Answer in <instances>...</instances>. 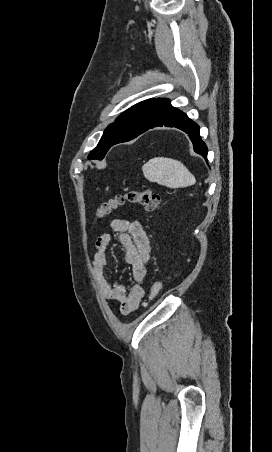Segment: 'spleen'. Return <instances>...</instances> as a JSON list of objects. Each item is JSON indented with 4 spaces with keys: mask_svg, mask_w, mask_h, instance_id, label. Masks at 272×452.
I'll list each match as a JSON object with an SVG mask.
<instances>
[{
    "mask_svg": "<svg viewBox=\"0 0 272 452\" xmlns=\"http://www.w3.org/2000/svg\"><path fill=\"white\" fill-rule=\"evenodd\" d=\"M143 174L150 182L169 188L187 187L195 184V177L180 161L166 157H156L142 167Z\"/></svg>",
    "mask_w": 272,
    "mask_h": 452,
    "instance_id": "obj_1",
    "label": "spleen"
}]
</instances>
